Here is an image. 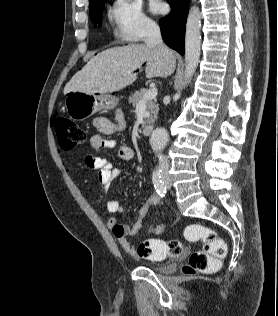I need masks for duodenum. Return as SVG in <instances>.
<instances>
[{"label":"duodenum","instance_id":"obj_1","mask_svg":"<svg viewBox=\"0 0 278 316\" xmlns=\"http://www.w3.org/2000/svg\"><path fill=\"white\" fill-rule=\"evenodd\" d=\"M153 130H154L153 125H146V126L143 128V134H144V135H150V134H152Z\"/></svg>","mask_w":278,"mask_h":316}]
</instances>
